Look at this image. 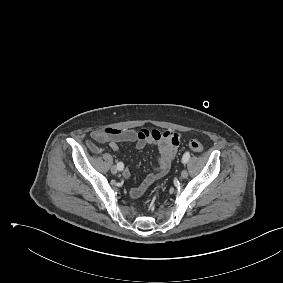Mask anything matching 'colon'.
Listing matches in <instances>:
<instances>
[{
	"label": "colon",
	"mask_w": 283,
	"mask_h": 283,
	"mask_svg": "<svg viewBox=\"0 0 283 283\" xmlns=\"http://www.w3.org/2000/svg\"><path fill=\"white\" fill-rule=\"evenodd\" d=\"M189 148L195 152H202L204 150V146L198 140L192 139L188 143Z\"/></svg>",
	"instance_id": "1"
}]
</instances>
